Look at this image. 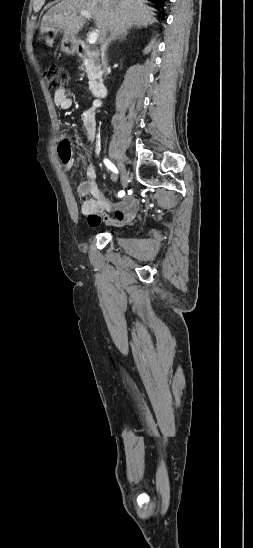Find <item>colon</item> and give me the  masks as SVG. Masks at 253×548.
Listing matches in <instances>:
<instances>
[{"instance_id": "obj_1", "label": "colon", "mask_w": 253, "mask_h": 548, "mask_svg": "<svg viewBox=\"0 0 253 548\" xmlns=\"http://www.w3.org/2000/svg\"><path fill=\"white\" fill-rule=\"evenodd\" d=\"M44 76L48 87L54 91L63 89V87L68 83V74L66 70L55 64H51L46 67ZM59 151L64 158H70V143L67 140L62 141Z\"/></svg>"}]
</instances>
